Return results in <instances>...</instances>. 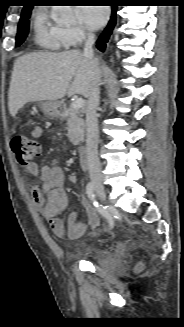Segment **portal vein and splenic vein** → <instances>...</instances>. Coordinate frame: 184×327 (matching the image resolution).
Wrapping results in <instances>:
<instances>
[{
  "label": "portal vein and splenic vein",
  "mask_w": 184,
  "mask_h": 327,
  "mask_svg": "<svg viewBox=\"0 0 184 327\" xmlns=\"http://www.w3.org/2000/svg\"><path fill=\"white\" fill-rule=\"evenodd\" d=\"M83 105H84V100L82 98H78L72 103V107L74 109H80L83 107Z\"/></svg>",
  "instance_id": "portal-vein-and-splenic-vein-1"
}]
</instances>
